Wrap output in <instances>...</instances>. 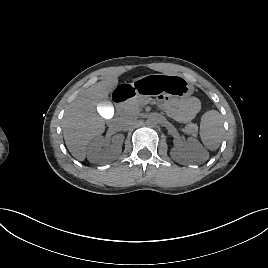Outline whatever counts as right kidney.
Masks as SVG:
<instances>
[{
    "instance_id": "1",
    "label": "right kidney",
    "mask_w": 268,
    "mask_h": 268,
    "mask_svg": "<svg viewBox=\"0 0 268 268\" xmlns=\"http://www.w3.org/2000/svg\"><path fill=\"white\" fill-rule=\"evenodd\" d=\"M124 137L117 135L112 144L103 136H98L90 143L87 151V158L91 163L106 165L117 159L122 151Z\"/></svg>"
}]
</instances>
